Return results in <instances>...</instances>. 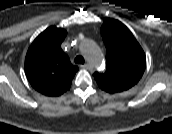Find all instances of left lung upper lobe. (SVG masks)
Returning <instances> with one entry per match:
<instances>
[{"label": "left lung upper lobe", "mask_w": 172, "mask_h": 134, "mask_svg": "<svg viewBox=\"0 0 172 134\" xmlns=\"http://www.w3.org/2000/svg\"><path fill=\"white\" fill-rule=\"evenodd\" d=\"M101 34L106 46V71L93 74L98 86L117 93L134 86L142 77L146 57L132 33L122 24H104Z\"/></svg>", "instance_id": "left-lung-upper-lobe-1"}]
</instances>
